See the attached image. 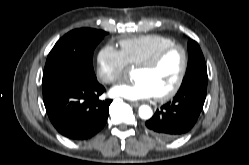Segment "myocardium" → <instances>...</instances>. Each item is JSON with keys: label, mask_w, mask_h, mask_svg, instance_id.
<instances>
[{"label": "myocardium", "mask_w": 249, "mask_h": 165, "mask_svg": "<svg viewBox=\"0 0 249 165\" xmlns=\"http://www.w3.org/2000/svg\"><path fill=\"white\" fill-rule=\"evenodd\" d=\"M174 50H179L182 54V67L177 77L176 82L174 85L166 92L162 94L155 95V98L158 101H166L172 98L181 88L183 81L185 79L188 65H189V56L186 48L180 44H171L163 49H161L156 55H154L148 61H145L136 66L137 69H144V70H153L157 68L162 61L166 58V56Z\"/></svg>", "instance_id": "obj_1"}]
</instances>
